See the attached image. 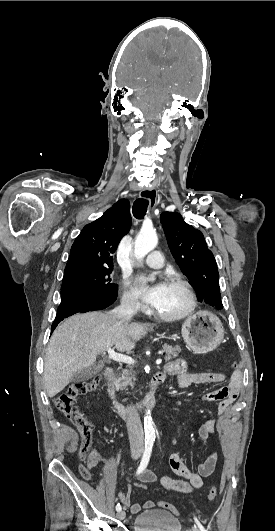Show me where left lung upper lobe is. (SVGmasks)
<instances>
[{
	"instance_id": "5c2ea615",
	"label": "left lung upper lobe",
	"mask_w": 275,
	"mask_h": 531,
	"mask_svg": "<svg viewBox=\"0 0 275 531\" xmlns=\"http://www.w3.org/2000/svg\"><path fill=\"white\" fill-rule=\"evenodd\" d=\"M160 219L172 255L190 280L198 300L222 309L217 263L202 232L176 212H164Z\"/></svg>"
}]
</instances>
